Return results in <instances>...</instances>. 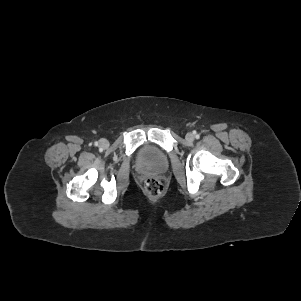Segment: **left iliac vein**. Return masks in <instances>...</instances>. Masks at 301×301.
<instances>
[{"mask_svg": "<svg viewBox=\"0 0 301 301\" xmlns=\"http://www.w3.org/2000/svg\"><path fill=\"white\" fill-rule=\"evenodd\" d=\"M185 138L188 142H192L195 137L192 133H187Z\"/></svg>", "mask_w": 301, "mask_h": 301, "instance_id": "obj_1", "label": "left iliac vein"}]
</instances>
